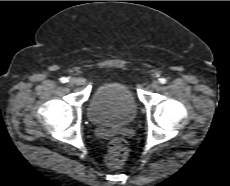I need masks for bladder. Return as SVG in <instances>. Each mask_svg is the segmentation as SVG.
I'll use <instances>...</instances> for the list:
<instances>
[{"mask_svg": "<svg viewBox=\"0 0 230 186\" xmlns=\"http://www.w3.org/2000/svg\"><path fill=\"white\" fill-rule=\"evenodd\" d=\"M137 105L130 88L121 82L98 85L88 104V117L98 126L118 127L130 123Z\"/></svg>", "mask_w": 230, "mask_h": 186, "instance_id": "31cf9c89", "label": "bladder"}]
</instances>
